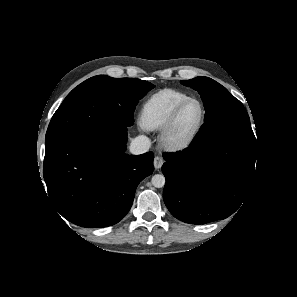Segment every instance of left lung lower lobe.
Masks as SVG:
<instances>
[{
    "label": "left lung lower lobe",
    "mask_w": 297,
    "mask_h": 297,
    "mask_svg": "<svg viewBox=\"0 0 297 297\" xmlns=\"http://www.w3.org/2000/svg\"><path fill=\"white\" fill-rule=\"evenodd\" d=\"M163 157L164 202L174 217L190 224L233 214L246 201L256 172V146L232 137L191 143Z\"/></svg>",
    "instance_id": "1"
}]
</instances>
